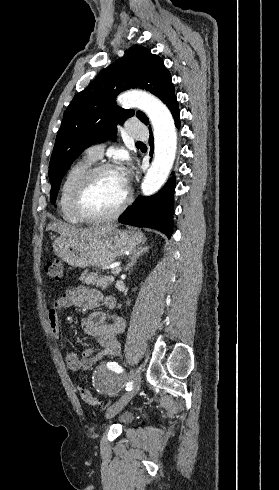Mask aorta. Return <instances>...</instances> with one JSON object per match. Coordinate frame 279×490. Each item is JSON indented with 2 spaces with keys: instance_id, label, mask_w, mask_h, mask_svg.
<instances>
[{
  "instance_id": "762f6f07",
  "label": "aorta",
  "mask_w": 279,
  "mask_h": 490,
  "mask_svg": "<svg viewBox=\"0 0 279 490\" xmlns=\"http://www.w3.org/2000/svg\"><path fill=\"white\" fill-rule=\"evenodd\" d=\"M117 101L124 107L142 110L150 119L154 133V158L141 184L143 195L150 196L166 182L177 149L174 119L158 98L146 92H125Z\"/></svg>"
}]
</instances>
